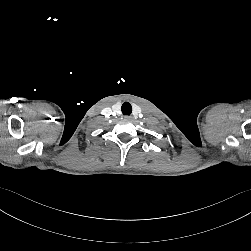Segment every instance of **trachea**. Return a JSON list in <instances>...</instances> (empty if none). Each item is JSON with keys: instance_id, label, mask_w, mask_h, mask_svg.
Listing matches in <instances>:
<instances>
[{"instance_id": "obj_1", "label": "trachea", "mask_w": 251, "mask_h": 251, "mask_svg": "<svg viewBox=\"0 0 251 251\" xmlns=\"http://www.w3.org/2000/svg\"><path fill=\"white\" fill-rule=\"evenodd\" d=\"M121 111H122L123 115H130L132 112L131 104L129 102H124L121 107Z\"/></svg>"}]
</instances>
